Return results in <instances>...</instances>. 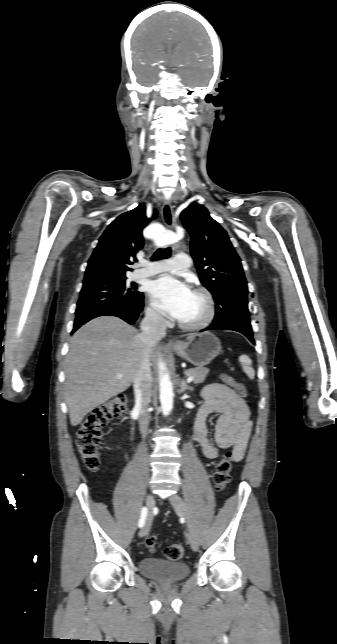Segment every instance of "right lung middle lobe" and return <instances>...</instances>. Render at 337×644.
Wrapping results in <instances>:
<instances>
[{"mask_svg":"<svg viewBox=\"0 0 337 644\" xmlns=\"http://www.w3.org/2000/svg\"><path fill=\"white\" fill-rule=\"evenodd\" d=\"M133 284L129 287L126 278H97L83 281L75 314L103 308L129 304L143 294Z\"/></svg>","mask_w":337,"mask_h":644,"instance_id":"right-lung-middle-lobe-1","label":"right lung middle lobe"}]
</instances>
